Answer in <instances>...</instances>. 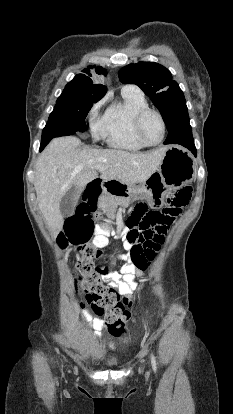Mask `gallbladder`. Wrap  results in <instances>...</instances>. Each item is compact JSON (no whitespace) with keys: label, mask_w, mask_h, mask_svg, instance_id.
<instances>
[{"label":"gallbladder","mask_w":233,"mask_h":414,"mask_svg":"<svg viewBox=\"0 0 233 414\" xmlns=\"http://www.w3.org/2000/svg\"><path fill=\"white\" fill-rule=\"evenodd\" d=\"M76 188H71L67 192V194L62 198L60 203V212L63 216H69L76 205L75 195H76Z\"/></svg>","instance_id":"1"}]
</instances>
